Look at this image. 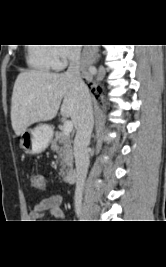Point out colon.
Listing matches in <instances>:
<instances>
[{"mask_svg": "<svg viewBox=\"0 0 166 267\" xmlns=\"http://www.w3.org/2000/svg\"><path fill=\"white\" fill-rule=\"evenodd\" d=\"M25 180H29V185H32L33 188H46V183H44V178L40 177L39 175H36V173L30 172L27 173V175L24 176Z\"/></svg>", "mask_w": 166, "mask_h": 267, "instance_id": "5ec220e1", "label": "colon"}]
</instances>
